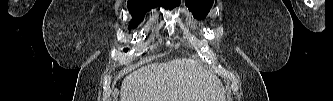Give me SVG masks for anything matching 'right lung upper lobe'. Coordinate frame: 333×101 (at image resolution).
<instances>
[{"mask_svg": "<svg viewBox=\"0 0 333 101\" xmlns=\"http://www.w3.org/2000/svg\"><path fill=\"white\" fill-rule=\"evenodd\" d=\"M128 1H152V2H160V3H167V4H180V0H128Z\"/></svg>", "mask_w": 333, "mask_h": 101, "instance_id": "1", "label": "right lung upper lobe"}]
</instances>
